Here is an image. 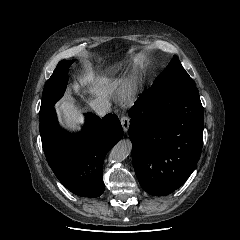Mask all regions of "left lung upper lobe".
Masks as SVG:
<instances>
[{
    "label": "left lung upper lobe",
    "instance_id": "obj_1",
    "mask_svg": "<svg viewBox=\"0 0 240 240\" xmlns=\"http://www.w3.org/2000/svg\"><path fill=\"white\" fill-rule=\"evenodd\" d=\"M168 84L196 86L176 56L173 57L166 69L155 79L151 87L156 88Z\"/></svg>",
    "mask_w": 240,
    "mask_h": 240
}]
</instances>
